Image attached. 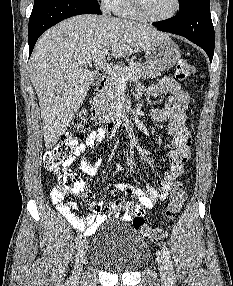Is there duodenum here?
Segmentation results:
<instances>
[{
	"mask_svg": "<svg viewBox=\"0 0 233 286\" xmlns=\"http://www.w3.org/2000/svg\"><path fill=\"white\" fill-rule=\"evenodd\" d=\"M107 80L105 77H102L96 86L95 92L92 95L91 99H90V105H91V116L93 118L94 121H99V116H98V110H97V101H98V96L99 93L104 89V87L106 86ZM118 126L117 122L115 121H109L107 123H105V128L108 131L114 130L116 127Z\"/></svg>",
	"mask_w": 233,
	"mask_h": 286,
	"instance_id": "duodenum-1",
	"label": "duodenum"
}]
</instances>
